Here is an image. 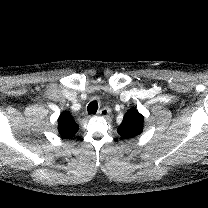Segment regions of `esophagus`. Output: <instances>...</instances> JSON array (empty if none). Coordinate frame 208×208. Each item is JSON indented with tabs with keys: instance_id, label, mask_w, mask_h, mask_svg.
I'll return each instance as SVG.
<instances>
[{
	"instance_id": "obj_1",
	"label": "esophagus",
	"mask_w": 208,
	"mask_h": 208,
	"mask_svg": "<svg viewBox=\"0 0 208 208\" xmlns=\"http://www.w3.org/2000/svg\"><path fill=\"white\" fill-rule=\"evenodd\" d=\"M110 114V109L108 107H104L98 111V115L102 117H107Z\"/></svg>"
}]
</instances>
